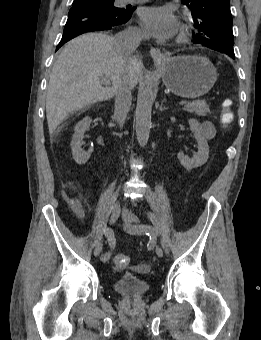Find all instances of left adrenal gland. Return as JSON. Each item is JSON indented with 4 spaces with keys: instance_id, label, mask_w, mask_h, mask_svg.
<instances>
[{
    "instance_id": "obj_1",
    "label": "left adrenal gland",
    "mask_w": 261,
    "mask_h": 340,
    "mask_svg": "<svg viewBox=\"0 0 261 340\" xmlns=\"http://www.w3.org/2000/svg\"><path fill=\"white\" fill-rule=\"evenodd\" d=\"M166 101V99H164L162 102H161V105H160V110L163 111L165 110L166 108L163 107V103Z\"/></svg>"
}]
</instances>
